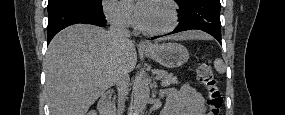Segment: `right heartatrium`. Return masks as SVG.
<instances>
[{"label": "right heart atrium", "mask_w": 285, "mask_h": 115, "mask_svg": "<svg viewBox=\"0 0 285 115\" xmlns=\"http://www.w3.org/2000/svg\"><path fill=\"white\" fill-rule=\"evenodd\" d=\"M103 10L112 24L124 28L135 26L136 22L132 12L120 1L105 0Z\"/></svg>", "instance_id": "obj_1"}]
</instances>
